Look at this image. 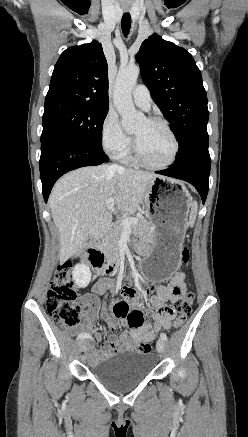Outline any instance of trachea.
<instances>
[{"instance_id":"3493384b","label":"trachea","mask_w":248,"mask_h":437,"mask_svg":"<svg viewBox=\"0 0 248 437\" xmlns=\"http://www.w3.org/2000/svg\"><path fill=\"white\" fill-rule=\"evenodd\" d=\"M122 31L125 36L128 35L131 28V16L129 13H124L121 21Z\"/></svg>"}]
</instances>
